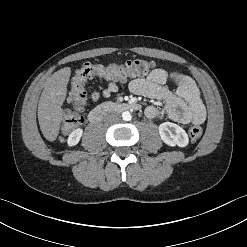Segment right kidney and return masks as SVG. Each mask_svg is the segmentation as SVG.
Instances as JSON below:
<instances>
[{"label": "right kidney", "instance_id": "right-kidney-1", "mask_svg": "<svg viewBox=\"0 0 247 247\" xmlns=\"http://www.w3.org/2000/svg\"><path fill=\"white\" fill-rule=\"evenodd\" d=\"M82 134H83V130L81 128H78V129L74 130L69 135V137L67 139V144L69 146H75V145H77L79 143L81 137H82Z\"/></svg>", "mask_w": 247, "mask_h": 247}]
</instances>
